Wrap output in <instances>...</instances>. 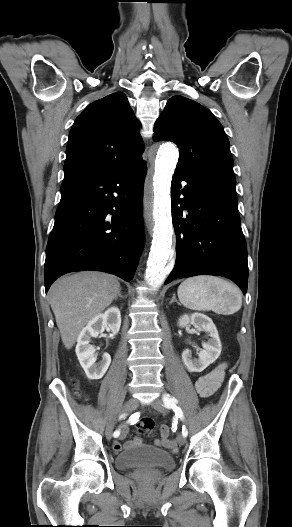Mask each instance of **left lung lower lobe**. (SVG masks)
Segmentation results:
<instances>
[{"label":"left lung lower lobe","instance_id":"1","mask_svg":"<svg viewBox=\"0 0 292 527\" xmlns=\"http://www.w3.org/2000/svg\"><path fill=\"white\" fill-rule=\"evenodd\" d=\"M187 184L182 187L181 182ZM172 220L176 263L165 284L195 275H217L247 291L248 265L235 187L186 178L172 180ZM184 198L180 199L179 196Z\"/></svg>","mask_w":292,"mask_h":527}]
</instances>
